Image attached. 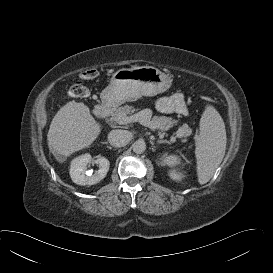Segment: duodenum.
<instances>
[{
    "label": "duodenum",
    "instance_id": "obj_1",
    "mask_svg": "<svg viewBox=\"0 0 273 273\" xmlns=\"http://www.w3.org/2000/svg\"><path fill=\"white\" fill-rule=\"evenodd\" d=\"M95 113L98 117L104 118L108 115L109 109L106 105L100 104V105L96 106Z\"/></svg>",
    "mask_w": 273,
    "mask_h": 273
}]
</instances>
